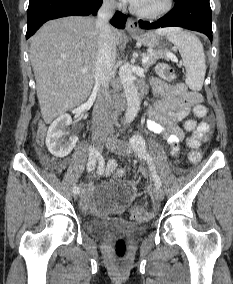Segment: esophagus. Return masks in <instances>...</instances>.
I'll return each mask as SVG.
<instances>
[{"label":"esophagus","instance_id":"34e87169","mask_svg":"<svg viewBox=\"0 0 233 284\" xmlns=\"http://www.w3.org/2000/svg\"><path fill=\"white\" fill-rule=\"evenodd\" d=\"M126 30L129 33H137L139 31L138 22L132 18H128L126 22Z\"/></svg>","mask_w":233,"mask_h":284}]
</instances>
